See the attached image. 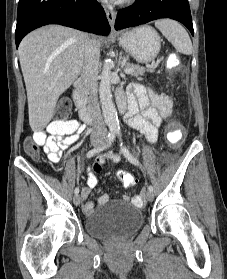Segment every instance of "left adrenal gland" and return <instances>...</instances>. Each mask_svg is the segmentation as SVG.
I'll list each match as a JSON object with an SVG mask.
<instances>
[{
	"label": "left adrenal gland",
	"mask_w": 227,
	"mask_h": 279,
	"mask_svg": "<svg viewBox=\"0 0 227 279\" xmlns=\"http://www.w3.org/2000/svg\"><path fill=\"white\" fill-rule=\"evenodd\" d=\"M122 64V54L120 55V58H119V65Z\"/></svg>",
	"instance_id": "1"
}]
</instances>
